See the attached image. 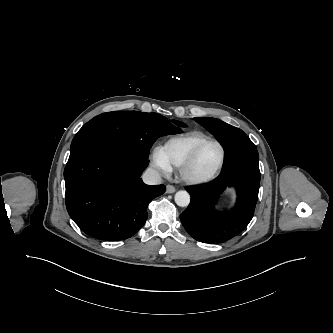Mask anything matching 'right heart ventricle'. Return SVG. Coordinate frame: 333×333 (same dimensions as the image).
I'll return each mask as SVG.
<instances>
[{
	"label": "right heart ventricle",
	"instance_id": "right-heart-ventricle-1",
	"mask_svg": "<svg viewBox=\"0 0 333 333\" xmlns=\"http://www.w3.org/2000/svg\"><path fill=\"white\" fill-rule=\"evenodd\" d=\"M207 138L203 132L190 131L170 137L158 150L171 168H180L196 145Z\"/></svg>",
	"mask_w": 333,
	"mask_h": 333
}]
</instances>
